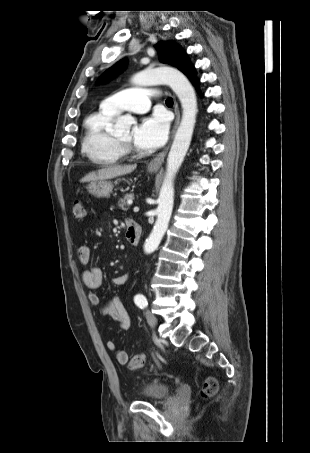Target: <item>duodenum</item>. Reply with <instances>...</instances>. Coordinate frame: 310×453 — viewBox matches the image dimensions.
<instances>
[{
    "mask_svg": "<svg viewBox=\"0 0 310 453\" xmlns=\"http://www.w3.org/2000/svg\"><path fill=\"white\" fill-rule=\"evenodd\" d=\"M126 237L128 242L131 245L136 246L141 238V227L135 221H130L127 223Z\"/></svg>",
    "mask_w": 310,
    "mask_h": 453,
    "instance_id": "1",
    "label": "duodenum"
}]
</instances>
